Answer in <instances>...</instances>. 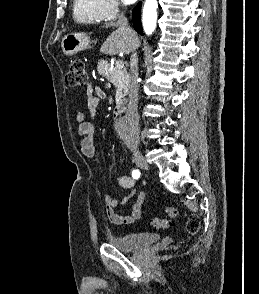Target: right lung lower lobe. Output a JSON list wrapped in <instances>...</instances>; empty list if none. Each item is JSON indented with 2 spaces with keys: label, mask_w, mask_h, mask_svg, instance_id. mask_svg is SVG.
<instances>
[{
  "label": "right lung lower lobe",
  "mask_w": 259,
  "mask_h": 294,
  "mask_svg": "<svg viewBox=\"0 0 259 294\" xmlns=\"http://www.w3.org/2000/svg\"><path fill=\"white\" fill-rule=\"evenodd\" d=\"M140 10H141V3H138L137 6L133 9L132 13V18H133V23H134V28L135 30L141 34H143V29L141 26V21H140Z\"/></svg>",
  "instance_id": "1"
}]
</instances>
